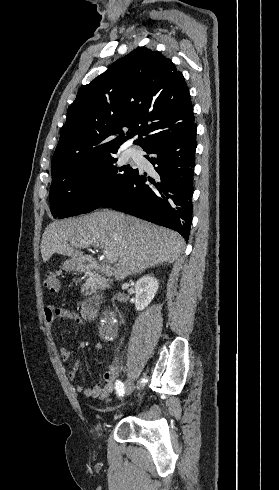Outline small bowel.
I'll list each match as a JSON object with an SVG mask.
<instances>
[{
	"instance_id": "c3829d8e",
	"label": "small bowel",
	"mask_w": 279,
	"mask_h": 490,
	"mask_svg": "<svg viewBox=\"0 0 279 490\" xmlns=\"http://www.w3.org/2000/svg\"><path fill=\"white\" fill-rule=\"evenodd\" d=\"M67 320L72 323L81 324L83 322V317L77 311L59 308L55 306H48L44 310V320L46 326L50 327L54 322L58 320ZM98 352H108L107 349L101 345L97 344L95 346ZM60 356L64 361H68L71 358V351L65 346L59 349ZM82 366L81 360H76L73 366L68 372V377L70 380H75L78 375V370ZM103 385H95L93 387L86 388L82 384L76 386V392L83 394L86 397L103 399L109 396L114 390L115 381V363H110L108 369L103 374Z\"/></svg>"
}]
</instances>
